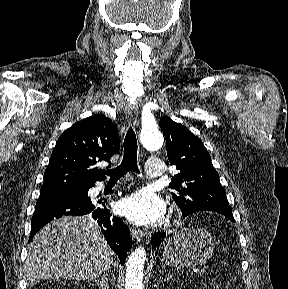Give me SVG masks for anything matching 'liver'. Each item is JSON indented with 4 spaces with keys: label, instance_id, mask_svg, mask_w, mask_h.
Returning a JSON list of instances; mask_svg holds the SVG:
<instances>
[{
    "label": "liver",
    "instance_id": "liver-1",
    "mask_svg": "<svg viewBox=\"0 0 288 289\" xmlns=\"http://www.w3.org/2000/svg\"><path fill=\"white\" fill-rule=\"evenodd\" d=\"M115 264V254L90 216H65L33 238L25 263L30 285L50 278H96Z\"/></svg>",
    "mask_w": 288,
    "mask_h": 289
}]
</instances>
